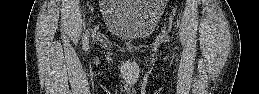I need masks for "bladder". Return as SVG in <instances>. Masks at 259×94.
<instances>
[{"label": "bladder", "mask_w": 259, "mask_h": 94, "mask_svg": "<svg viewBox=\"0 0 259 94\" xmlns=\"http://www.w3.org/2000/svg\"><path fill=\"white\" fill-rule=\"evenodd\" d=\"M161 8L148 0L106 1L103 17L107 32L118 40L136 44L148 38L155 30Z\"/></svg>", "instance_id": "31cf9c89"}]
</instances>
